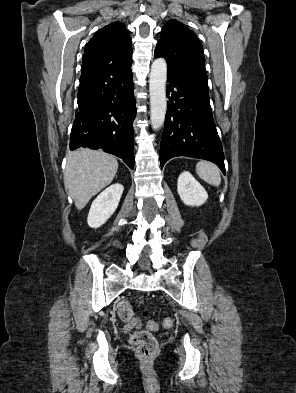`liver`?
Instances as JSON below:
<instances>
[{"label":"liver","mask_w":296,"mask_h":393,"mask_svg":"<svg viewBox=\"0 0 296 393\" xmlns=\"http://www.w3.org/2000/svg\"><path fill=\"white\" fill-rule=\"evenodd\" d=\"M118 170L117 160L103 151L78 149L67 155L64 183L78 210L109 185Z\"/></svg>","instance_id":"6515ba94"}]
</instances>
